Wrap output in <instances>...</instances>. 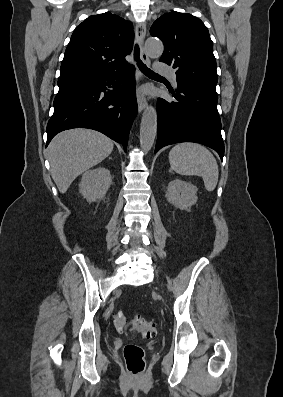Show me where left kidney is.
<instances>
[{"instance_id": "left-kidney-1", "label": "left kidney", "mask_w": 283, "mask_h": 397, "mask_svg": "<svg viewBox=\"0 0 283 397\" xmlns=\"http://www.w3.org/2000/svg\"><path fill=\"white\" fill-rule=\"evenodd\" d=\"M169 203L181 210H189L197 202V188L190 182L174 179L169 182L166 192Z\"/></svg>"}]
</instances>
